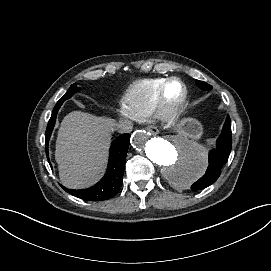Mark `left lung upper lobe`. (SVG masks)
I'll return each mask as SVG.
<instances>
[{
    "instance_id": "5c2ea615",
    "label": "left lung upper lobe",
    "mask_w": 271,
    "mask_h": 271,
    "mask_svg": "<svg viewBox=\"0 0 271 271\" xmlns=\"http://www.w3.org/2000/svg\"><path fill=\"white\" fill-rule=\"evenodd\" d=\"M196 85L201 89V90H204V91H208V90H211L212 89V86L207 84L206 82L204 81H199V80H196Z\"/></svg>"
}]
</instances>
